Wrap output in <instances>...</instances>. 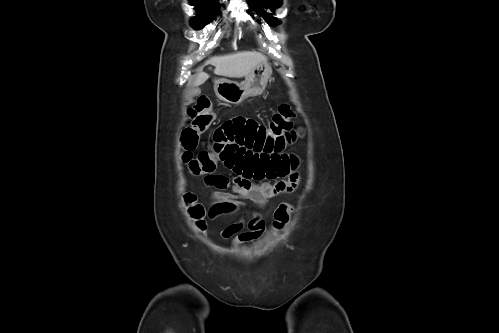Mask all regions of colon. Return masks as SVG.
I'll list each match as a JSON object with an SVG mask.
<instances>
[{"label":"colon","mask_w":499,"mask_h":333,"mask_svg":"<svg viewBox=\"0 0 499 333\" xmlns=\"http://www.w3.org/2000/svg\"><path fill=\"white\" fill-rule=\"evenodd\" d=\"M211 102L208 98L201 97L190 110L193 121L181 134L182 161L188 170L195 175L212 173L217 164L218 157L212 147L197 155L194 151L199 144L200 134L210 125L212 115L210 113ZM294 113L288 104H281L273 114L267 126L269 132L274 136H282L292 128ZM188 212L196 224L203 228L205 221V209L197 201L196 196L187 194L185 196ZM294 211L290 204L279 205L274 212V226L276 229L285 227Z\"/></svg>","instance_id":"1"}]
</instances>
